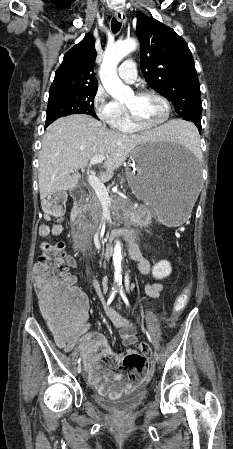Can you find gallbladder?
I'll return each instance as SVG.
<instances>
[{
    "instance_id": "gallbladder-1",
    "label": "gallbladder",
    "mask_w": 233,
    "mask_h": 449,
    "mask_svg": "<svg viewBox=\"0 0 233 449\" xmlns=\"http://www.w3.org/2000/svg\"><path fill=\"white\" fill-rule=\"evenodd\" d=\"M58 195H59V197H65L66 196L64 192H59Z\"/></svg>"
}]
</instances>
